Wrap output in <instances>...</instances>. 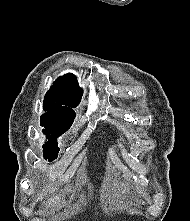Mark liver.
I'll list each match as a JSON object with an SVG mask.
<instances>
[{"label": "liver", "instance_id": "obj_1", "mask_svg": "<svg viewBox=\"0 0 190 221\" xmlns=\"http://www.w3.org/2000/svg\"><path fill=\"white\" fill-rule=\"evenodd\" d=\"M64 202H65L64 196L61 194H58L48 199L46 203V207L47 208L48 207H60L61 204H63Z\"/></svg>", "mask_w": 190, "mask_h": 221}]
</instances>
